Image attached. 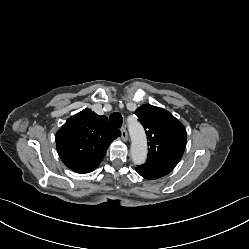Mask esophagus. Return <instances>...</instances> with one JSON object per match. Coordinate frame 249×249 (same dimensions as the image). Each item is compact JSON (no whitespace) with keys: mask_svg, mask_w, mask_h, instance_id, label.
<instances>
[{"mask_svg":"<svg viewBox=\"0 0 249 249\" xmlns=\"http://www.w3.org/2000/svg\"><path fill=\"white\" fill-rule=\"evenodd\" d=\"M121 137L124 141L128 140V133L125 127L121 128Z\"/></svg>","mask_w":249,"mask_h":249,"instance_id":"34e87169","label":"esophagus"}]
</instances>
